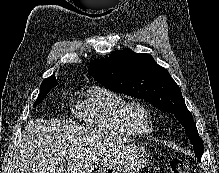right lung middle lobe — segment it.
Returning <instances> with one entry per match:
<instances>
[{
	"instance_id": "1",
	"label": "right lung middle lobe",
	"mask_w": 219,
	"mask_h": 173,
	"mask_svg": "<svg viewBox=\"0 0 219 173\" xmlns=\"http://www.w3.org/2000/svg\"><path fill=\"white\" fill-rule=\"evenodd\" d=\"M56 80V79H55ZM57 85V83H55L54 79H45L43 80L41 86H40V93L39 96L36 100V102L34 103L33 107L37 106L47 95V93Z\"/></svg>"
}]
</instances>
